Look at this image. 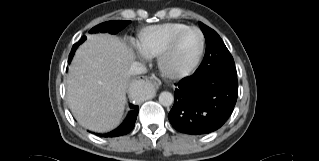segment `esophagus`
<instances>
[{
	"instance_id": "1",
	"label": "esophagus",
	"mask_w": 319,
	"mask_h": 161,
	"mask_svg": "<svg viewBox=\"0 0 319 161\" xmlns=\"http://www.w3.org/2000/svg\"><path fill=\"white\" fill-rule=\"evenodd\" d=\"M142 78L145 79V80H149L150 82H152L153 85H154L156 88H158V87L160 86V84H161L160 80L157 79V78H155V79H153V78L148 79L147 77H142Z\"/></svg>"
}]
</instances>
